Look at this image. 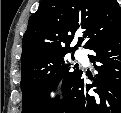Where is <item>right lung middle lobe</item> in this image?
<instances>
[{
	"label": "right lung middle lobe",
	"instance_id": "dd1d6c3e",
	"mask_svg": "<svg viewBox=\"0 0 121 113\" xmlns=\"http://www.w3.org/2000/svg\"><path fill=\"white\" fill-rule=\"evenodd\" d=\"M67 53L69 51L45 55L21 68L23 113H50L55 107L59 99L49 101V92L61 80L63 93L69 80L79 71L78 66L71 70V65L65 64Z\"/></svg>",
	"mask_w": 121,
	"mask_h": 113
}]
</instances>
